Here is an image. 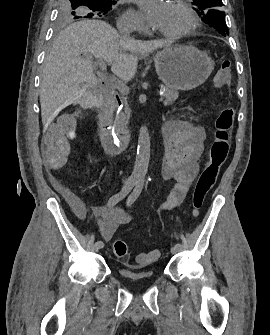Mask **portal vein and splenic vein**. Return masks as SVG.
<instances>
[{
    "label": "portal vein and splenic vein",
    "instance_id": "obj_1",
    "mask_svg": "<svg viewBox=\"0 0 270 335\" xmlns=\"http://www.w3.org/2000/svg\"><path fill=\"white\" fill-rule=\"evenodd\" d=\"M95 65L98 66L100 71H105L107 69L106 62L103 57H98L96 59ZM113 86L116 91H119V93H129L131 91L129 86H120L118 83H113ZM163 94L164 92H160V96H163ZM158 101L162 102L164 101V98L160 97L158 98Z\"/></svg>",
    "mask_w": 270,
    "mask_h": 335
}]
</instances>
